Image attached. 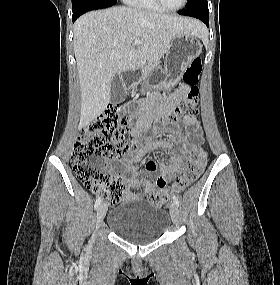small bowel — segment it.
<instances>
[{"instance_id": "small-bowel-1", "label": "small bowel", "mask_w": 280, "mask_h": 285, "mask_svg": "<svg viewBox=\"0 0 280 285\" xmlns=\"http://www.w3.org/2000/svg\"><path fill=\"white\" fill-rule=\"evenodd\" d=\"M188 86L182 84L179 89L170 95L164 106L156 113L155 118L168 115L175 110L177 105L187 96ZM186 127L184 132H174L173 140L179 144L178 153L174 145L168 141L152 139L146 142H137L136 148L128 156H124L117 161L120 169L128 176L126 178L118 177L122 181L121 197L124 199L144 198L165 188L168 180L178 177L184 169L185 158L190 153L196 143L202 140L201 126L195 116L186 117L183 120ZM150 119L139 116L136 123L131 128L133 137H141L149 129ZM155 149H165L173 155L169 161H162L159 165L155 160L149 159L146 162V171L150 174H156L155 180L148 177L139 178L136 164L142 161L143 156ZM132 190H135L133 192Z\"/></svg>"}]
</instances>
